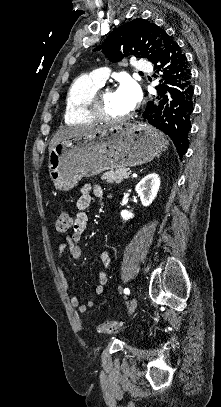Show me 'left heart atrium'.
I'll return each instance as SVG.
<instances>
[{
  "label": "left heart atrium",
  "instance_id": "1",
  "mask_svg": "<svg viewBox=\"0 0 221 407\" xmlns=\"http://www.w3.org/2000/svg\"><path fill=\"white\" fill-rule=\"evenodd\" d=\"M129 109H134L141 100L139 86L130 78H123L116 90Z\"/></svg>",
  "mask_w": 221,
  "mask_h": 407
}]
</instances>
